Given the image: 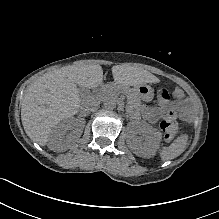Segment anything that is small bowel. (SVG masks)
Segmentation results:
<instances>
[{
	"instance_id": "1",
	"label": "small bowel",
	"mask_w": 219,
	"mask_h": 219,
	"mask_svg": "<svg viewBox=\"0 0 219 219\" xmlns=\"http://www.w3.org/2000/svg\"><path fill=\"white\" fill-rule=\"evenodd\" d=\"M157 94L159 106H147L143 109V115L148 121L156 122L161 113L172 109L180 111L181 117L186 121L194 117V107L187 98L183 97L173 100L166 88H159Z\"/></svg>"
}]
</instances>
